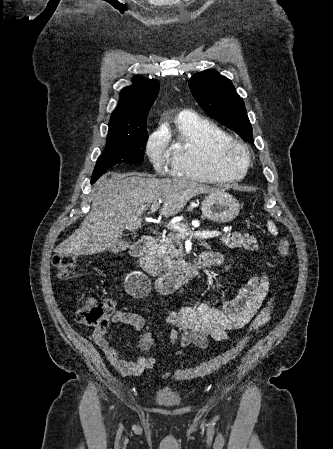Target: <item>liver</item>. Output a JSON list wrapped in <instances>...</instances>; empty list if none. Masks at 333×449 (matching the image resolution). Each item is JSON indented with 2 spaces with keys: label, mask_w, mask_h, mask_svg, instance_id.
<instances>
[{
  "label": "liver",
  "mask_w": 333,
  "mask_h": 449,
  "mask_svg": "<svg viewBox=\"0 0 333 449\" xmlns=\"http://www.w3.org/2000/svg\"><path fill=\"white\" fill-rule=\"evenodd\" d=\"M218 190L201 183L146 178L142 173L103 175L92 189V207L80 228L62 242L56 252L66 255H93L116 244L123 231L141 226L142 214L161 200L160 213L178 214L187 202L200 194Z\"/></svg>",
  "instance_id": "obj_1"
}]
</instances>
